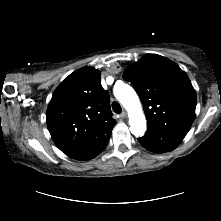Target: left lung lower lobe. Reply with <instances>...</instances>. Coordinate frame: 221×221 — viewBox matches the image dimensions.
I'll use <instances>...</instances> for the list:
<instances>
[{"instance_id": "left-lung-lower-lobe-1", "label": "left lung lower lobe", "mask_w": 221, "mask_h": 221, "mask_svg": "<svg viewBox=\"0 0 221 221\" xmlns=\"http://www.w3.org/2000/svg\"><path fill=\"white\" fill-rule=\"evenodd\" d=\"M187 133L179 131L160 130L147 128L146 134L138 138L140 144L155 153H164L177 147Z\"/></svg>"}]
</instances>
